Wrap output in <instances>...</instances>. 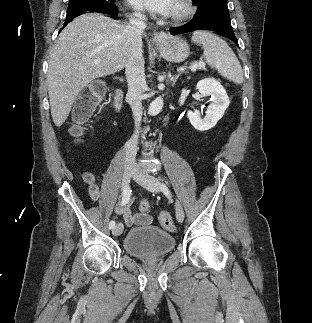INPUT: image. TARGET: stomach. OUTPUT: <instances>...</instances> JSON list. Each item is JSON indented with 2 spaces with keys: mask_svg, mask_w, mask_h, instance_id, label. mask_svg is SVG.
I'll use <instances>...</instances> for the list:
<instances>
[{
  "mask_svg": "<svg viewBox=\"0 0 312 323\" xmlns=\"http://www.w3.org/2000/svg\"><path fill=\"white\" fill-rule=\"evenodd\" d=\"M160 54L167 62H184L190 54V48L179 36H164L159 42Z\"/></svg>",
  "mask_w": 312,
  "mask_h": 323,
  "instance_id": "1",
  "label": "stomach"
}]
</instances>
